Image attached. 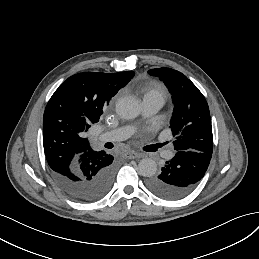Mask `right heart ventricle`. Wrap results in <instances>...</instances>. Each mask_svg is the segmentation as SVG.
Here are the masks:
<instances>
[{
	"instance_id": "obj_1",
	"label": "right heart ventricle",
	"mask_w": 259,
	"mask_h": 259,
	"mask_svg": "<svg viewBox=\"0 0 259 259\" xmlns=\"http://www.w3.org/2000/svg\"><path fill=\"white\" fill-rule=\"evenodd\" d=\"M137 91L143 95V100L151 97L166 98V91L164 87L158 83H151L149 86L140 85Z\"/></svg>"
}]
</instances>
